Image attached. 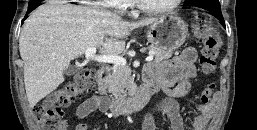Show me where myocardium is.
<instances>
[{
    "label": "myocardium",
    "instance_id": "1",
    "mask_svg": "<svg viewBox=\"0 0 257 130\" xmlns=\"http://www.w3.org/2000/svg\"><path fill=\"white\" fill-rule=\"evenodd\" d=\"M182 2V0H173L172 3H170L169 5L165 6V7H161V8H152V7H148L146 6L142 0H135V4L137 6V8L139 10H141L144 13L147 14H165L168 12L173 11L175 8H177L180 3Z\"/></svg>",
    "mask_w": 257,
    "mask_h": 130
}]
</instances>
